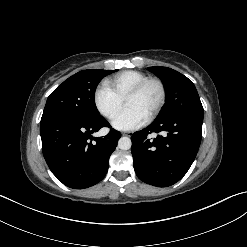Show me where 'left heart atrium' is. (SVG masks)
I'll use <instances>...</instances> for the list:
<instances>
[{
	"mask_svg": "<svg viewBox=\"0 0 247 247\" xmlns=\"http://www.w3.org/2000/svg\"><path fill=\"white\" fill-rule=\"evenodd\" d=\"M148 116L133 106H126L113 120L112 125L118 130H134L143 126Z\"/></svg>",
	"mask_w": 247,
	"mask_h": 247,
	"instance_id": "1",
	"label": "left heart atrium"
}]
</instances>
